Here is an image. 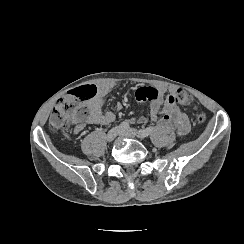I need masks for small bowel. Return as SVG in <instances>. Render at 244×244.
Instances as JSON below:
<instances>
[{
    "mask_svg": "<svg viewBox=\"0 0 244 244\" xmlns=\"http://www.w3.org/2000/svg\"><path fill=\"white\" fill-rule=\"evenodd\" d=\"M115 88L111 82H102L96 86V95L87 101V115L80 121L79 134L88 124L109 125L115 120V114L111 111H104L106 101L115 94ZM174 89L166 87H142L136 91V99L141 104L148 106L149 118L158 122L160 126L168 131L177 133L179 136H185L190 132V121L188 116L177 107L172 98ZM120 109V106L117 107ZM136 121L143 123L146 121L144 116H139Z\"/></svg>",
    "mask_w": 244,
    "mask_h": 244,
    "instance_id": "small-bowel-1",
    "label": "small bowel"
}]
</instances>
